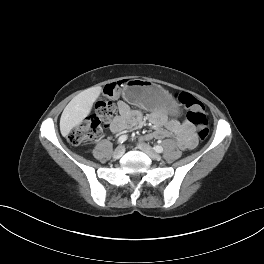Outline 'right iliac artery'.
I'll list each match as a JSON object with an SVG mask.
<instances>
[{
    "mask_svg": "<svg viewBox=\"0 0 264 264\" xmlns=\"http://www.w3.org/2000/svg\"><path fill=\"white\" fill-rule=\"evenodd\" d=\"M128 136L127 135H121L119 138H118V143L122 144L124 143L126 140H127Z\"/></svg>",
    "mask_w": 264,
    "mask_h": 264,
    "instance_id": "1",
    "label": "right iliac artery"
}]
</instances>
